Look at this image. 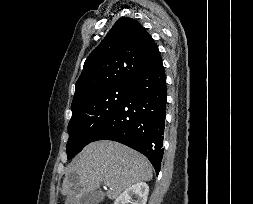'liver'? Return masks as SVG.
<instances>
[{"mask_svg":"<svg viewBox=\"0 0 253 204\" xmlns=\"http://www.w3.org/2000/svg\"><path fill=\"white\" fill-rule=\"evenodd\" d=\"M152 177V167L140 153L113 141L92 142L69 166L62 184L67 195L65 204H80L81 197L99 189L101 182L107 185L106 195L113 200L133 184Z\"/></svg>","mask_w":253,"mask_h":204,"instance_id":"6515ba94","label":"liver"}]
</instances>
